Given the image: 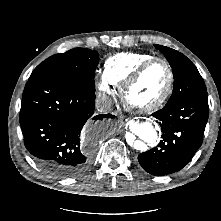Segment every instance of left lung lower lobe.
Here are the masks:
<instances>
[{
  "label": "left lung lower lobe",
  "mask_w": 221,
  "mask_h": 221,
  "mask_svg": "<svg viewBox=\"0 0 221 221\" xmlns=\"http://www.w3.org/2000/svg\"><path fill=\"white\" fill-rule=\"evenodd\" d=\"M207 94H193L152 115L162 130V140L149 151L140 153L138 161L152 175H168L181 170L202 144L208 120Z\"/></svg>",
  "instance_id": "1"
}]
</instances>
